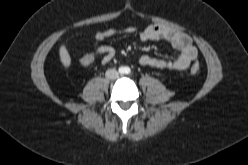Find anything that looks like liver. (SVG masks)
<instances>
[{"label": "liver", "mask_w": 248, "mask_h": 165, "mask_svg": "<svg viewBox=\"0 0 248 165\" xmlns=\"http://www.w3.org/2000/svg\"><path fill=\"white\" fill-rule=\"evenodd\" d=\"M59 56H60V61L64 65V67H69L71 64V58L65 45L63 44L59 48Z\"/></svg>", "instance_id": "liver-1"}]
</instances>
